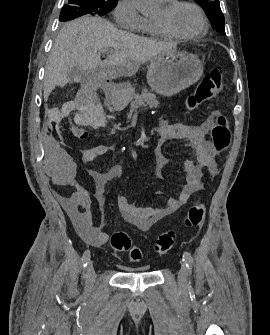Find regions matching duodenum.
<instances>
[{"mask_svg": "<svg viewBox=\"0 0 270 335\" xmlns=\"http://www.w3.org/2000/svg\"><path fill=\"white\" fill-rule=\"evenodd\" d=\"M105 92L107 95V107L111 111H119L125 105V93L122 87L113 80H107L105 83Z\"/></svg>", "mask_w": 270, "mask_h": 335, "instance_id": "410a0bca", "label": "duodenum"}]
</instances>
